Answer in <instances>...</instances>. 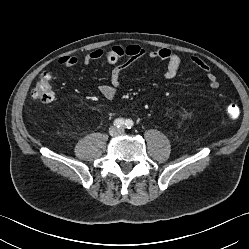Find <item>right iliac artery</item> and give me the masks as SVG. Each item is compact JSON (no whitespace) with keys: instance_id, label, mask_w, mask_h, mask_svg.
I'll list each match as a JSON object with an SVG mask.
<instances>
[{"instance_id":"1","label":"right iliac artery","mask_w":249,"mask_h":249,"mask_svg":"<svg viewBox=\"0 0 249 249\" xmlns=\"http://www.w3.org/2000/svg\"><path fill=\"white\" fill-rule=\"evenodd\" d=\"M125 120L123 118H117L114 120V125L118 128L123 127L125 125Z\"/></svg>"}]
</instances>
